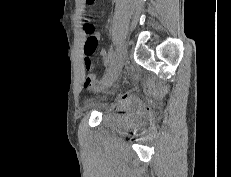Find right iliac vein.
Wrapping results in <instances>:
<instances>
[{"instance_id": "obj_1", "label": "right iliac vein", "mask_w": 231, "mask_h": 177, "mask_svg": "<svg viewBox=\"0 0 231 177\" xmlns=\"http://www.w3.org/2000/svg\"><path fill=\"white\" fill-rule=\"evenodd\" d=\"M125 48L123 44L117 47L113 64L104 78V87L112 85L117 79L123 66Z\"/></svg>"}]
</instances>
